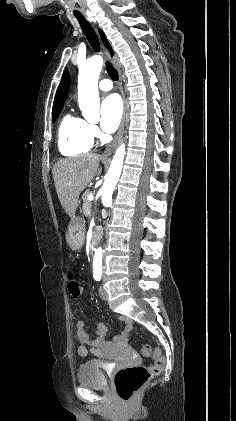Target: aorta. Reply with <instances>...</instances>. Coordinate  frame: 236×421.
<instances>
[{
	"label": "aorta",
	"mask_w": 236,
	"mask_h": 421,
	"mask_svg": "<svg viewBox=\"0 0 236 421\" xmlns=\"http://www.w3.org/2000/svg\"><path fill=\"white\" fill-rule=\"evenodd\" d=\"M103 66L102 56H91L89 60H86V64L79 70L78 78V100L79 106L85 114L86 104H94L96 98L99 96L98 92V78ZM125 156V144L121 142L111 160L110 168L107 172V178L101 188L102 204L109 206L112 204L113 190L119 180L121 174L123 162ZM102 249H97L94 255L93 269L95 273H101L102 271Z\"/></svg>",
	"instance_id": "762f6f07"
}]
</instances>
